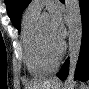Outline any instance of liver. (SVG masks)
<instances>
[{
	"label": "liver",
	"instance_id": "6515ba94",
	"mask_svg": "<svg viewBox=\"0 0 89 89\" xmlns=\"http://www.w3.org/2000/svg\"><path fill=\"white\" fill-rule=\"evenodd\" d=\"M55 85H59L56 79L34 80L28 83L25 89H51Z\"/></svg>",
	"mask_w": 89,
	"mask_h": 89
}]
</instances>
